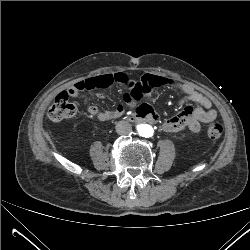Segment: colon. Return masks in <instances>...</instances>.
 Returning a JSON list of instances; mask_svg holds the SVG:
<instances>
[{"instance_id": "colon-1", "label": "colon", "mask_w": 250, "mask_h": 250, "mask_svg": "<svg viewBox=\"0 0 250 250\" xmlns=\"http://www.w3.org/2000/svg\"><path fill=\"white\" fill-rule=\"evenodd\" d=\"M131 78L125 73H107L97 76L95 78L79 81L58 93L47 110V117L54 122L73 118L77 113V105L75 102L70 101L72 94L78 93L84 89L93 90L95 88H108L114 83L124 84L128 86ZM165 80L162 77L155 75H145L140 81V85H136V89L140 95L148 93L153 87L163 85ZM223 134V126L219 122H212L208 126L207 136L210 140H218Z\"/></svg>"}]
</instances>
